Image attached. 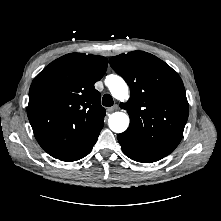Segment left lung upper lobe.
Instances as JSON below:
<instances>
[{
	"label": "left lung upper lobe",
	"instance_id": "1",
	"mask_svg": "<svg viewBox=\"0 0 221 221\" xmlns=\"http://www.w3.org/2000/svg\"><path fill=\"white\" fill-rule=\"evenodd\" d=\"M109 63L131 90L128 102L121 104L130 117L125 133L142 149L167 156L180 143L188 119L181 78L164 61L143 51L114 56Z\"/></svg>",
	"mask_w": 221,
	"mask_h": 221
}]
</instances>
